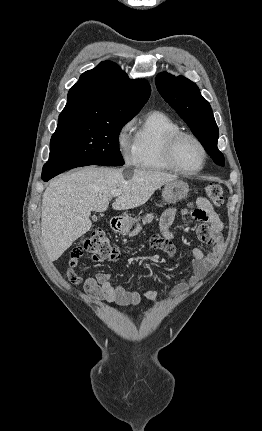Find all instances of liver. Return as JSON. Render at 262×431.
<instances>
[{"mask_svg": "<svg viewBox=\"0 0 262 431\" xmlns=\"http://www.w3.org/2000/svg\"><path fill=\"white\" fill-rule=\"evenodd\" d=\"M124 169L85 167L53 179L42 196V245L51 261L57 260L79 237L90 230L91 211L105 212L111 193L122 194L115 210L145 204L161 186L177 179L160 171L134 169L125 178Z\"/></svg>", "mask_w": 262, "mask_h": 431, "instance_id": "liver-1", "label": "liver"}]
</instances>
